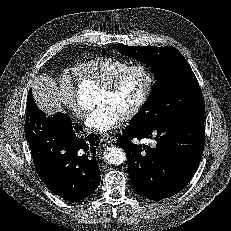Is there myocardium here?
<instances>
[{
    "label": "myocardium",
    "mask_w": 231,
    "mask_h": 231,
    "mask_svg": "<svg viewBox=\"0 0 231 231\" xmlns=\"http://www.w3.org/2000/svg\"><path fill=\"white\" fill-rule=\"evenodd\" d=\"M132 71H141L144 74L145 86L139 98L124 112V115L126 117H131L135 115L149 99L155 81L152 70L142 63L128 65L101 85V88L106 90L107 92H113L117 89L124 77Z\"/></svg>",
    "instance_id": "1"
}]
</instances>
